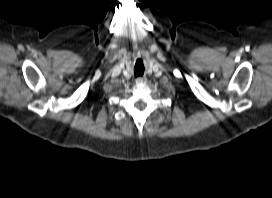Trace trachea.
I'll return each instance as SVG.
<instances>
[{
    "mask_svg": "<svg viewBox=\"0 0 272 198\" xmlns=\"http://www.w3.org/2000/svg\"><path fill=\"white\" fill-rule=\"evenodd\" d=\"M144 73V66L142 63H136L135 65V76H142Z\"/></svg>",
    "mask_w": 272,
    "mask_h": 198,
    "instance_id": "trachea-1",
    "label": "trachea"
}]
</instances>
